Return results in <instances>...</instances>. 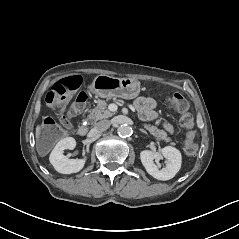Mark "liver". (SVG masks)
<instances>
[{
    "label": "liver",
    "instance_id": "obj_1",
    "mask_svg": "<svg viewBox=\"0 0 239 239\" xmlns=\"http://www.w3.org/2000/svg\"><path fill=\"white\" fill-rule=\"evenodd\" d=\"M41 126L40 124H37L36 125V128H35V140L38 141L40 136H41Z\"/></svg>",
    "mask_w": 239,
    "mask_h": 239
}]
</instances>
